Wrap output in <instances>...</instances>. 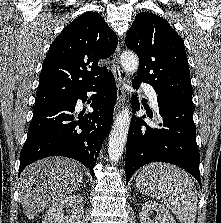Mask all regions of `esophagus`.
<instances>
[{
	"instance_id": "1",
	"label": "esophagus",
	"mask_w": 221,
	"mask_h": 223,
	"mask_svg": "<svg viewBox=\"0 0 221 223\" xmlns=\"http://www.w3.org/2000/svg\"><path fill=\"white\" fill-rule=\"evenodd\" d=\"M120 52H121V44L119 43L113 54V61H112V71L117 87V102L114 110L115 114H117L123 108L126 100L125 84L127 81V76L121 69Z\"/></svg>"
}]
</instances>
